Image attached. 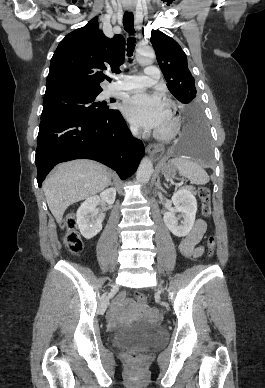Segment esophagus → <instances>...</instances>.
Returning a JSON list of instances; mask_svg holds the SVG:
<instances>
[{
  "label": "esophagus",
  "instance_id": "obj_1",
  "mask_svg": "<svg viewBox=\"0 0 265 388\" xmlns=\"http://www.w3.org/2000/svg\"><path fill=\"white\" fill-rule=\"evenodd\" d=\"M132 10H129L131 12ZM146 151L149 153L151 158H159L163 155L165 147L160 144H151L146 147Z\"/></svg>",
  "mask_w": 265,
  "mask_h": 388
}]
</instances>
